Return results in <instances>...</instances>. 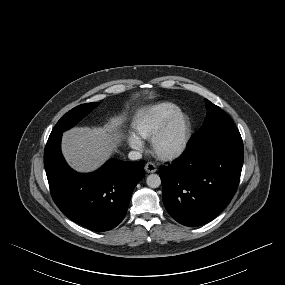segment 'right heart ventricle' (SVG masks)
<instances>
[{
    "mask_svg": "<svg viewBox=\"0 0 285 285\" xmlns=\"http://www.w3.org/2000/svg\"><path fill=\"white\" fill-rule=\"evenodd\" d=\"M180 107L171 101H160L138 109L133 118V128L139 137L147 139Z\"/></svg>",
    "mask_w": 285,
    "mask_h": 285,
    "instance_id": "right-heart-ventricle-1",
    "label": "right heart ventricle"
}]
</instances>
